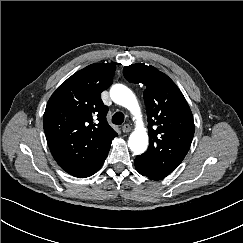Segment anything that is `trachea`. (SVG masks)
Masks as SVG:
<instances>
[{"instance_id":"3493384b","label":"trachea","mask_w":243,"mask_h":243,"mask_svg":"<svg viewBox=\"0 0 243 243\" xmlns=\"http://www.w3.org/2000/svg\"><path fill=\"white\" fill-rule=\"evenodd\" d=\"M124 114L122 112H116L112 117V123L115 125H121L124 122Z\"/></svg>"}]
</instances>
